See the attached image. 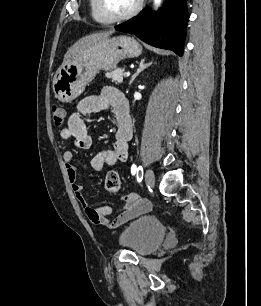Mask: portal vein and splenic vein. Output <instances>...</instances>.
I'll list each match as a JSON object with an SVG mask.
<instances>
[{"instance_id": "obj_1", "label": "portal vein and splenic vein", "mask_w": 261, "mask_h": 306, "mask_svg": "<svg viewBox=\"0 0 261 306\" xmlns=\"http://www.w3.org/2000/svg\"><path fill=\"white\" fill-rule=\"evenodd\" d=\"M124 76H125V77H129V76H130V72H126V73L124 74Z\"/></svg>"}]
</instances>
